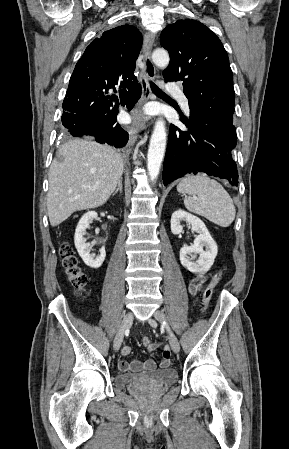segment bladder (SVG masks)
Instances as JSON below:
<instances>
[{
	"instance_id": "obj_1",
	"label": "bladder",
	"mask_w": 289,
	"mask_h": 449,
	"mask_svg": "<svg viewBox=\"0 0 289 449\" xmlns=\"http://www.w3.org/2000/svg\"><path fill=\"white\" fill-rule=\"evenodd\" d=\"M178 374L174 368L154 369L142 373H118L114 383L117 388L125 389L129 386H162L170 385L177 381Z\"/></svg>"
}]
</instances>
